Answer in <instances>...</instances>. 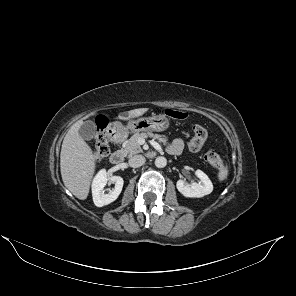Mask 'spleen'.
Here are the masks:
<instances>
[{
    "label": "spleen",
    "instance_id": "1",
    "mask_svg": "<svg viewBox=\"0 0 296 296\" xmlns=\"http://www.w3.org/2000/svg\"><path fill=\"white\" fill-rule=\"evenodd\" d=\"M228 176V167H221L218 172V179L219 181H224Z\"/></svg>",
    "mask_w": 296,
    "mask_h": 296
}]
</instances>
